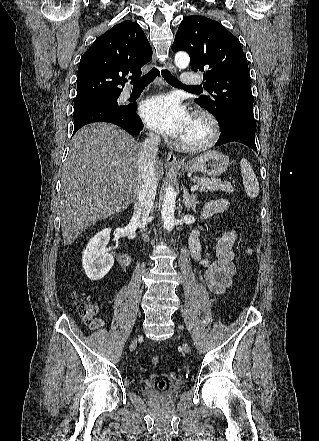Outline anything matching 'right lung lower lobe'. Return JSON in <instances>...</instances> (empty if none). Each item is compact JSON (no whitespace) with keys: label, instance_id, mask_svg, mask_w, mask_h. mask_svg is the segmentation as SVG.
Masks as SVG:
<instances>
[{"label":"right lung lower lobe","instance_id":"1","mask_svg":"<svg viewBox=\"0 0 319 441\" xmlns=\"http://www.w3.org/2000/svg\"><path fill=\"white\" fill-rule=\"evenodd\" d=\"M74 115V132L82 126L93 122H109L125 129L129 134H138L142 122L136 115V103L129 104L126 108L97 107L81 111Z\"/></svg>","mask_w":319,"mask_h":441}]
</instances>
